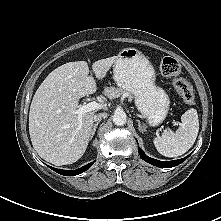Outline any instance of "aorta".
Returning <instances> with one entry per match:
<instances>
[{
  "label": "aorta",
  "instance_id": "aorta-1",
  "mask_svg": "<svg viewBox=\"0 0 221 221\" xmlns=\"http://www.w3.org/2000/svg\"><path fill=\"white\" fill-rule=\"evenodd\" d=\"M127 115L122 110H116L113 114V123L117 126H122L126 124Z\"/></svg>",
  "mask_w": 221,
  "mask_h": 221
}]
</instances>
